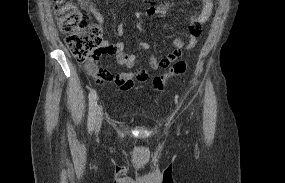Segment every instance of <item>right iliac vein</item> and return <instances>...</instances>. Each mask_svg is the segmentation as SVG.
I'll return each instance as SVG.
<instances>
[{"label":"right iliac vein","instance_id":"obj_1","mask_svg":"<svg viewBox=\"0 0 285 183\" xmlns=\"http://www.w3.org/2000/svg\"><path fill=\"white\" fill-rule=\"evenodd\" d=\"M95 119H96V128L99 129L102 122V109L100 106L96 109Z\"/></svg>","mask_w":285,"mask_h":183}]
</instances>
